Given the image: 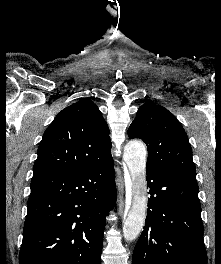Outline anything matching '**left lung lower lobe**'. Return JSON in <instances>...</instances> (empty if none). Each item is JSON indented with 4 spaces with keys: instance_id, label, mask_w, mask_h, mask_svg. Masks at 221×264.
Instances as JSON below:
<instances>
[{
    "instance_id": "obj_1",
    "label": "left lung lower lobe",
    "mask_w": 221,
    "mask_h": 264,
    "mask_svg": "<svg viewBox=\"0 0 221 264\" xmlns=\"http://www.w3.org/2000/svg\"><path fill=\"white\" fill-rule=\"evenodd\" d=\"M146 174L150 199L132 264H207L197 182L154 169Z\"/></svg>"
}]
</instances>
